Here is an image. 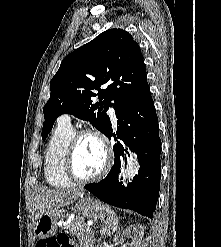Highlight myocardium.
Returning <instances> with one entry per match:
<instances>
[{
  "instance_id": "f54148a6",
  "label": "myocardium",
  "mask_w": 221,
  "mask_h": 247,
  "mask_svg": "<svg viewBox=\"0 0 221 247\" xmlns=\"http://www.w3.org/2000/svg\"><path fill=\"white\" fill-rule=\"evenodd\" d=\"M85 136H92L96 138L100 142L103 148V151H104V155H105V161H104V165L102 169L97 174H95L94 176H90V177H81L76 172L75 165H74L75 153H76L78 144L81 138ZM113 161H114V154H113L112 146L110 145L108 139L103 133H101L100 131L96 129H80L74 132L69 142V145H68V148L65 154L64 169H65L66 175L68 176L70 180L76 183L85 184V183H91V182H95V181L102 179L111 169Z\"/></svg>"
}]
</instances>
